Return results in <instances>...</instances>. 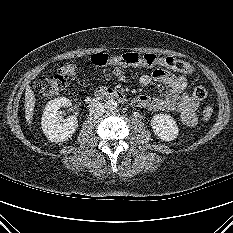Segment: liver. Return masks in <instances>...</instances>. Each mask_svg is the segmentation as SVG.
<instances>
[{"label":"liver","instance_id":"1","mask_svg":"<svg viewBox=\"0 0 233 233\" xmlns=\"http://www.w3.org/2000/svg\"><path fill=\"white\" fill-rule=\"evenodd\" d=\"M36 99L35 94L30 86H27L25 92V118L28 122V125L32 124L33 114H34V107H35Z\"/></svg>","mask_w":233,"mask_h":233}]
</instances>
